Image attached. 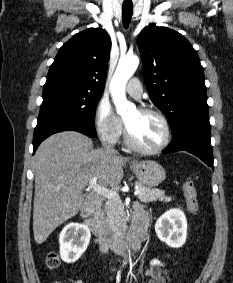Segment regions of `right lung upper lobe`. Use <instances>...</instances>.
<instances>
[{
    "label": "right lung upper lobe",
    "instance_id": "cb5924a9",
    "mask_svg": "<svg viewBox=\"0 0 233 283\" xmlns=\"http://www.w3.org/2000/svg\"><path fill=\"white\" fill-rule=\"evenodd\" d=\"M110 50V36L102 28L75 34L59 49L45 84L103 92Z\"/></svg>",
    "mask_w": 233,
    "mask_h": 283
}]
</instances>
